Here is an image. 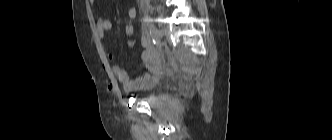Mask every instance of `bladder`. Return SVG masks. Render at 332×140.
I'll return each instance as SVG.
<instances>
[{
    "label": "bladder",
    "instance_id": "31cf9c89",
    "mask_svg": "<svg viewBox=\"0 0 332 140\" xmlns=\"http://www.w3.org/2000/svg\"><path fill=\"white\" fill-rule=\"evenodd\" d=\"M159 84V80L157 78H152L151 81L146 85V87L143 89L144 92H150L153 91Z\"/></svg>",
    "mask_w": 332,
    "mask_h": 140
}]
</instances>
